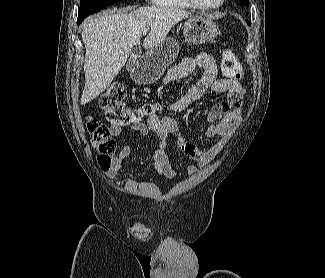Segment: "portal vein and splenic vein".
I'll list each match as a JSON object with an SVG mask.
<instances>
[{
  "instance_id": "18ae733b",
  "label": "portal vein and splenic vein",
  "mask_w": 325,
  "mask_h": 278,
  "mask_svg": "<svg viewBox=\"0 0 325 278\" xmlns=\"http://www.w3.org/2000/svg\"><path fill=\"white\" fill-rule=\"evenodd\" d=\"M148 31H149V28H145V29L142 31L143 35H146Z\"/></svg>"
}]
</instances>
